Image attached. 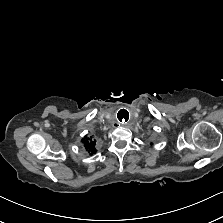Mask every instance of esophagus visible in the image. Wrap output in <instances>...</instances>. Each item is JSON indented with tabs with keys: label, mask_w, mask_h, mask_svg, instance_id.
<instances>
[{
	"label": "esophagus",
	"mask_w": 223,
	"mask_h": 223,
	"mask_svg": "<svg viewBox=\"0 0 223 223\" xmlns=\"http://www.w3.org/2000/svg\"><path fill=\"white\" fill-rule=\"evenodd\" d=\"M116 118H117L119 124H121L123 126L130 124V122L132 120V117H131L129 111H127L125 109L118 111Z\"/></svg>",
	"instance_id": "esophagus-1"
}]
</instances>
